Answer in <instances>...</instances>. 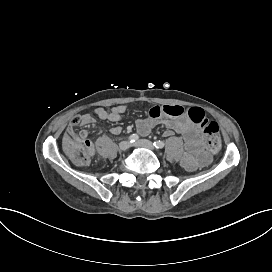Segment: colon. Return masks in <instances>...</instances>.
I'll use <instances>...</instances> for the list:
<instances>
[{"label": "colon", "instance_id": "5ec220e1", "mask_svg": "<svg viewBox=\"0 0 272 272\" xmlns=\"http://www.w3.org/2000/svg\"><path fill=\"white\" fill-rule=\"evenodd\" d=\"M188 116L201 129L207 149L212 153L217 152L221 148L219 124L208 119L207 113L195 106L188 108ZM64 144L66 153L73 159L78 170H87L91 166L92 147L87 139L73 134L65 139Z\"/></svg>", "mask_w": 272, "mask_h": 272}]
</instances>
